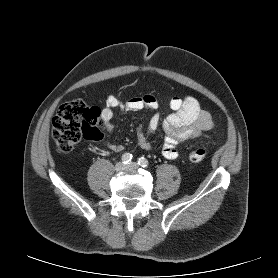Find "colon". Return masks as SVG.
<instances>
[{
    "label": "colon",
    "instance_id": "1",
    "mask_svg": "<svg viewBox=\"0 0 278 278\" xmlns=\"http://www.w3.org/2000/svg\"><path fill=\"white\" fill-rule=\"evenodd\" d=\"M103 125L101 110L82 100L67 102L59 108L52 122V138L60 153L70 152L82 139L99 140ZM207 156L206 149L193 147L189 152L192 162H201Z\"/></svg>",
    "mask_w": 278,
    "mask_h": 278
}]
</instances>
